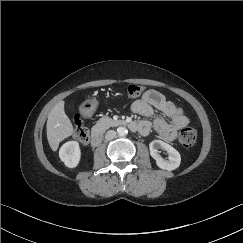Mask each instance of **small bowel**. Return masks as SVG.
Wrapping results in <instances>:
<instances>
[{
	"label": "small bowel",
	"instance_id": "obj_1",
	"mask_svg": "<svg viewBox=\"0 0 243 243\" xmlns=\"http://www.w3.org/2000/svg\"><path fill=\"white\" fill-rule=\"evenodd\" d=\"M154 109L160 111L169 122L162 117H155L152 122L149 120H142L138 122L140 124L138 132L141 135H148L153 127L159 137L165 141L171 142L177 138L178 130L189 124V120L184 115L182 109L173 102L167 100L163 94L154 89L145 91L142 96L131 105L133 113L145 118L153 117Z\"/></svg>",
	"mask_w": 243,
	"mask_h": 243
}]
</instances>
